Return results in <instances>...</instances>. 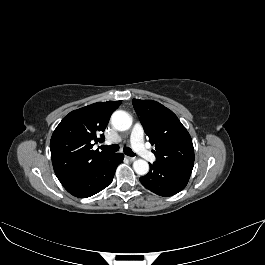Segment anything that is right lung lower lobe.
<instances>
[{
    "label": "right lung lower lobe",
    "instance_id": "obj_1",
    "mask_svg": "<svg viewBox=\"0 0 265 265\" xmlns=\"http://www.w3.org/2000/svg\"><path fill=\"white\" fill-rule=\"evenodd\" d=\"M123 158L124 155L121 153L108 154L86 170L61 183L75 197H90L106 188L112 182L115 170L123 161Z\"/></svg>",
    "mask_w": 265,
    "mask_h": 265
}]
</instances>
